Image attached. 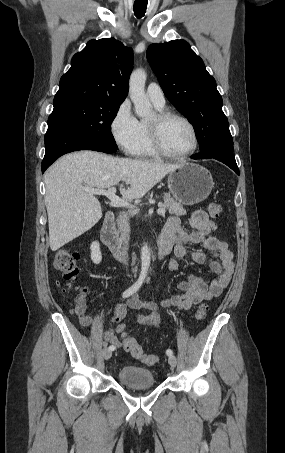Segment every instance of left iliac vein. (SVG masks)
<instances>
[{
	"label": "left iliac vein",
	"mask_w": 285,
	"mask_h": 453,
	"mask_svg": "<svg viewBox=\"0 0 285 453\" xmlns=\"http://www.w3.org/2000/svg\"><path fill=\"white\" fill-rule=\"evenodd\" d=\"M168 362H169L171 367H175L176 364H177V359H176V357L174 355H171L168 358Z\"/></svg>",
	"instance_id": "left-iliac-vein-1"
}]
</instances>
